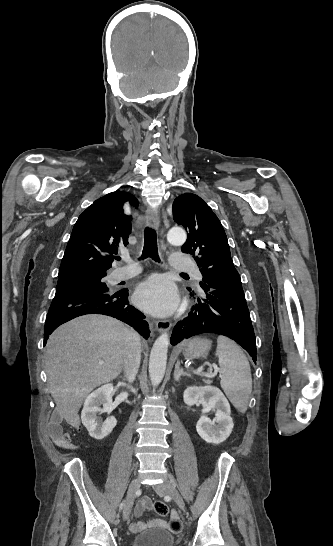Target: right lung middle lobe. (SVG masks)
Wrapping results in <instances>:
<instances>
[{
  "mask_svg": "<svg viewBox=\"0 0 333 546\" xmlns=\"http://www.w3.org/2000/svg\"><path fill=\"white\" fill-rule=\"evenodd\" d=\"M106 275H90L58 280L55 296L78 292L107 293L108 287L103 282Z\"/></svg>",
  "mask_w": 333,
  "mask_h": 546,
  "instance_id": "dd1d6c3e",
  "label": "right lung middle lobe"
}]
</instances>
